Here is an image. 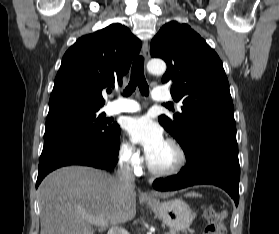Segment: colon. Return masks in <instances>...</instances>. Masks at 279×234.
Here are the masks:
<instances>
[{"mask_svg":"<svg viewBox=\"0 0 279 234\" xmlns=\"http://www.w3.org/2000/svg\"><path fill=\"white\" fill-rule=\"evenodd\" d=\"M223 211H216V210H208L206 212V218L208 224L204 230V234H223L224 227H223Z\"/></svg>","mask_w":279,"mask_h":234,"instance_id":"5ec220e1","label":"colon"}]
</instances>
